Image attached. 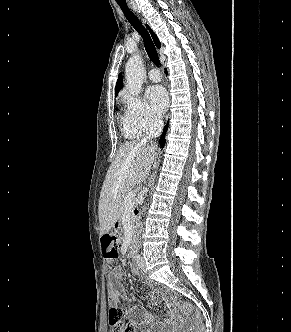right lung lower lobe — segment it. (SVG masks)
Wrapping results in <instances>:
<instances>
[{
    "instance_id": "obj_1",
    "label": "right lung lower lobe",
    "mask_w": 291,
    "mask_h": 332,
    "mask_svg": "<svg viewBox=\"0 0 291 332\" xmlns=\"http://www.w3.org/2000/svg\"><path fill=\"white\" fill-rule=\"evenodd\" d=\"M166 74H167V72H166ZM167 127H168V122H167V126H165L164 131H163V133H162V135L160 137V144H161V146L165 145V134H166Z\"/></svg>"
}]
</instances>
